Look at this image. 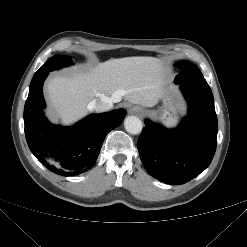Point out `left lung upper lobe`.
Listing matches in <instances>:
<instances>
[{
    "label": "left lung upper lobe",
    "mask_w": 247,
    "mask_h": 247,
    "mask_svg": "<svg viewBox=\"0 0 247 247\" xmlns=\"http://www.w3.org/2000/svg\"><path fill=\"white\" fill-rule=\"evenodd\" d=\"M180 69V74L176 76L175 83L182 82H206L200 70L192 63L183 60L174 64Z\"/></svg>",
    "instance_id": "1"
}]
</instances>
